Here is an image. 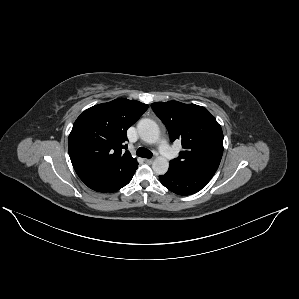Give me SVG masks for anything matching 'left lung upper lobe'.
Returning a JSON list of instances; mask_svg holds the SVG:
<instances>
[{
    "instance_id": "1",
    "label": "left lung upper lobe",
    "mask_w": 299,
    "mask_h": 299,
    "mask_svg": "<svg viewBox=\"0 0 299 299\" xmlns=\"http://www.w3.org/2000/svg\"><path fill=\"white\" fill-rule=\"evenodd\" d=\"M151 107L168 129L171 142L180 140L184 148L169 168L216 172L223 154V132L215 117L202 106L178 101L156 102Z\"/></svg>"
}]
</instances>
